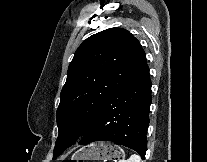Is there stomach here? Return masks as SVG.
I'll use <instances>...</instances> for the list:
<instances>
[{
    "label": "stomach",
    "mask_w": 207,
    "mask_h": 162,
    "mask_svg": "<svg viewBox=\"0 0 207 162\" xmlns=\"http://www.w3.org/2000/svg\"><path fill=\"white\" fill-rule=\"evenodd\" d=\"M125 157L123 149L108 143H96L77 151L71 160H121Z\"/></svg>",
    "instance_id": "1"
}]
</instances>
